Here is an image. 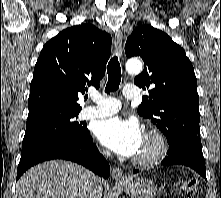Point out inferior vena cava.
<instances>
[{"instance_id":"1","label":"inferior vena cava","mask_w":221,"mask_h":198,"mask_svg":"<svg viewBox=\"0 0 221 198\" xmlns=\"http://www.w3.org/2000/svg\"><path fill=\"white\" fill-rule=\"evenodd\" d=\"M105 156L109 157L110 152L103 150L102 152ZM100 189V180L95 175L91 174L88 178V187L87 191L90 198H97V193Z\"/></svg>"}]
</instances>
